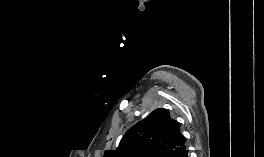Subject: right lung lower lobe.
I'll return each instance as SVG.
<instances>
[{
    "instance_id": "1",
    "label": "right lung lower lobe",
    "mask_w": 264,
    "mask_h": 157,
    "mask_svg": "<svg viewBox=\"0 0 264 157\" xmlns=\"http://www.w3.org/2000/svg\"><path fill=\"white\" fill-rule=\"evenodd\" d=\"M180 157H188V150L186 149Z\"/></svg>"
}]
</instances>
